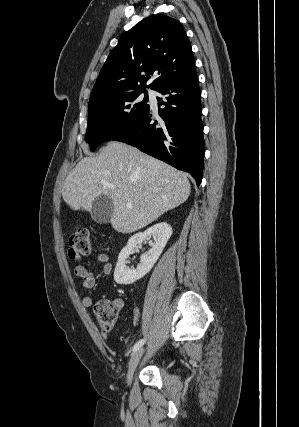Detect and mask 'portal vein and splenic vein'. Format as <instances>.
Instances as JSON below:
<instances>
[{
    "instance_id": "portal-vein-and-splenic-vein-1",
    "label": "portal vein and splenic vein",
    "mask_w": 299,
    "mask_h": 427,
    "mask_svg": "<svg viewBox=\"0 0 299 427\" xmlns=\"http://www.w3.org/2000/svg\"><path fill=\"white\" fill-rule=\"evenodd\" d=\"M101 184L109 186V187H114L113 185H110L107 181H104V180L101 181ZM126 206H127V208H132V204L129 202L126 204Z\"/></svg>"
}]
</instances>
